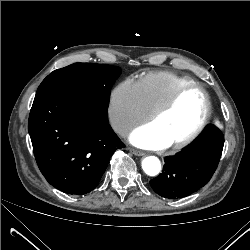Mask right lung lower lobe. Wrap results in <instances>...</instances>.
I'll return each instance as SVG.
<instances>
[{
	"label": "right lung lower lobe",
	"instance_id": "right-lung-lower-lobe-1",
	"mask_svg": "<svg viewBox=\"0 0 250 250\" xmlns=\"http://www.w3.org/2000/svg\"><path fill=\"white\" fill-rule=\"evenodd\" d=\"M107 108L66 90L35 96L28 130L51 185L77 195L98 185L115 150L124 147L108 123Z\"/></svg>",
	"mask_w": 250,
	"mask_h": 250
}]
</instances>
